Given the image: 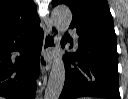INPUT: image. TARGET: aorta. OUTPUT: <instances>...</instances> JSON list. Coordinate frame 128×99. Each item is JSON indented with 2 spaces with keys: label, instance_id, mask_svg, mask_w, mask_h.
Masks as SVG:
<instances>
[{
  "label": "aorta",
  "instance_id": "762f6f07",
  "mask_svg": "<svg viewBox=\"0 0 128 99\" xmlns=\"http://www.w3.org/2000/svg\"><path fill=\"white\" fill-rule=\"evenodd\" d=\"M54 24L62 35L72 21V12L66 5H58L52 12ZM65 81V66L61 57H57L52 65L48 84L45 90V99H59Z\"/></svg>",
  "mask_w": 128,
  "mask_h": 99
}]
</instances>
